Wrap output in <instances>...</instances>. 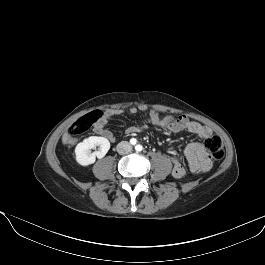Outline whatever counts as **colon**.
<instances>
[{
  "instance_id": "colon-1",
  "label": "colon",
  "mask_w": 265,
  "mask_h": 265,
  "mask_svg": "<svg viewBox=\"0 0 265 265\" xmlns=\"http://www.w3.org/2000/svg\"><path fill=\"white\" fill-rule=\"evenodd\" d=\"M102 116L103 114L101 111L95 110L77 119L68 129V133L64 138L65 143L73 144L78 137L86 133L94 124H96ZM149 119L153 123L160 121L174 122L178 120V117L162 116L159 112L152 111L149 114ZM204 146L213 158L221 159L224 156V145L222 139L218 135L208 137Z\"/></svg>"
}]
</instances>
